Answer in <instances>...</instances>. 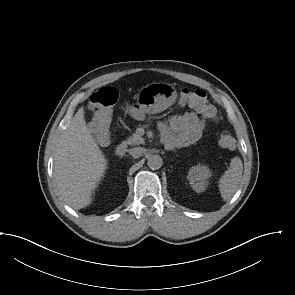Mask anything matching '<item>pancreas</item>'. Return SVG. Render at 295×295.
Segmentation results:
<instances>
[{"label": "pancreas", "instance_id": "cf45deb5", "mask_svg": "<svg viewBox=\"0 0 295 295\" xmlns=\"http://www.w3.org/2000/svg\"><path fill=\"white\" fill-rule=\"evenodd\" d=\"M144 139L138 134V133H134L131 137H129L125 143L135 146V145H139V144H144Z\"/></svg>", "mask_w": 295, "mask_h": 295}]
</instances>
